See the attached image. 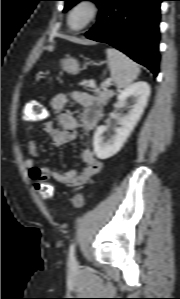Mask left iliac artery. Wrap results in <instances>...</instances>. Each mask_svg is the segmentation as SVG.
Returning <instances> with one entry per match:
<instances>
[{"label":"left iliac artery","instance_id":"44dca946","mask_svg":"<svg viewBox=\"0 0 180 299\" xmlns=\"http://www.w3.org/2000/svg\"><path fill=\"white\" fill-rule=\"evenodd\" d=\"M74 251H75V244L73 243V244H71V246L69 248V258L71 261L75 260Z\"/></svg>","mask_w":180,"mask_h":299}]
</instances>
